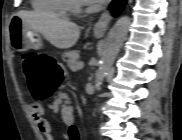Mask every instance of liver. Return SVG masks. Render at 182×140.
Returning a JSON list of instances; mask_svg holds the SVG:
<instances>
[{"label": "liver", "instance_id": "1", "mask_svg": "<svg viewBox=\"0 0 182 140\" xmlns=\"http://www.w3.org/2000/svg\"><path fill=\"white\" fill-rule=\"evenodd\" d=\"M18 16L30 29L42 34L48 42L59 49H68L79 39V26L54 14L22 11Z\"/></svg>", "mask_w": 182, "mask_h": 140}]
</instances>
